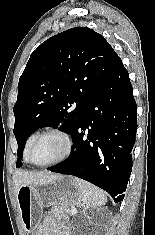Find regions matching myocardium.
<instances>
[{"instance_id":"myocardium-1","label":"myocardium","mask_w":155,"mask_h":235,"mask_svg":"<svg viewBox=\"0 0 155 235\" xmlns=\"http://www.w3.org/2000/svg\"><path fill=\"white\" fill-rule=\"evenodd\" d=\"M49 134H56V135H59L60 137H62L64 139V141H65V150H64L63 154L59 158H57V159H55L51 162H48V163L38 164V163L33 162L30 158V152H31V149H32L33 145L35 144V142L37 140H39L43 136H46V135H49ZM73 149H74V140H73L72 135L65 129H62V128H59V127H51V128H48V129L43 130V131L36 134V136L34 137V139L32 140V142L30 143V145L27 149L26 159H27L28 163H30L34 166H37V167H50V166H54V165H57V164H60L64 161H66L71 156V154L73 152Z\"/></svg>"}]
</instances>
